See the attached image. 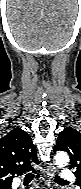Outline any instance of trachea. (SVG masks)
Listing matches in <instances>:
<instances>
[{
	"instance_id": "3493384b",
	"label": "trachea",
	"mask_w": 81,
	"mask_h": 189,
	"mask_svg": "<svg viewBox=\"0 0 81 189\" xmlns=\"http://www.w3.org/2000/svg\"><path fill=\"white\" fill-rule=\"evenodd\" d=\"M33 176H34L33 173H28V174L26 175V177H33ZM55 181L67 182V181L63 180L62 178H60V177H58V176H55Z\"/></svg>"
}]
</instances>
